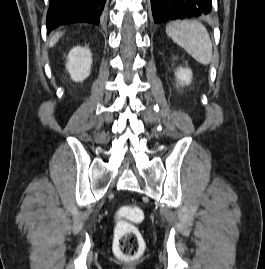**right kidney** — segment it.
<instances>
[{
    "mask_svg": "<svg viewBox=\"0 0 265 269\" xmlns=\"http://www.w3.org/2000/svg\"><path fill=\"white\" fill-rule=\"evenodd\" d=\"M92 54L88 47H73L68 56L66 69L73 81L85 80L91 72Z\"/></svg>",
    "mask_w": 265,
    "mask_h": 269,
    "instance_id": "1",
    "label": "right kidney"
}]
</instances>
